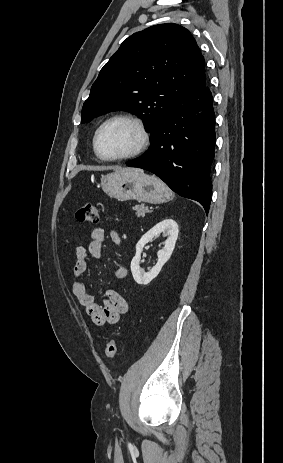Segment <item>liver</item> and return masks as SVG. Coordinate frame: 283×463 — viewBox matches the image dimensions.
Returning a JSON list of instances; mask_svg holds the SVG:
<instances>
[{"label": "liver", "mask_w": 283, "mask_h": 463, "mask_svg": "<svg viewBox=\"0 0 283 463\" xmlns=\"http://www.w3.org/2000/svg\"><path fill=\"white\" fill-rule=\"evenodd\" d=\"M126 170H128V169H121V168H119V169H117L116 171H118V172H122V171H126ZM139 171H140V172H143V171H142V170H140V169H139Z\"/></svg>", "instance_id": "liver-1"}]
</instances>
